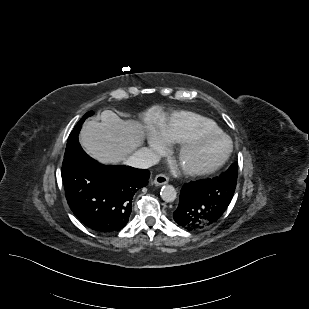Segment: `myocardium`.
Here are the masks:
<instances>
[{"mask_svg":"<svg viewBox=\"0 0 309 309\" xmlns=\"http://www.w3.org/2000/svg\"><path fill=\"white\" fill-rule=\"evenodd\" d=\"M210 139H223L227 142V149L223 156L216 161L214 164L207 166V167H188L181 165L182 171L184 174L190 177H204L214 172L218 171L230 158L233 152V143L231 139L222 132H201L193 135L189 139L185 140L184 142L180 143L175 151V157L180 162L182 157L195 146L200 144L203 141L210 140Z\"/></svg>","mask_w":309,"mask_h":309,"instance_id":"myocardium-1","label":"myocardium"}]
</instances>
